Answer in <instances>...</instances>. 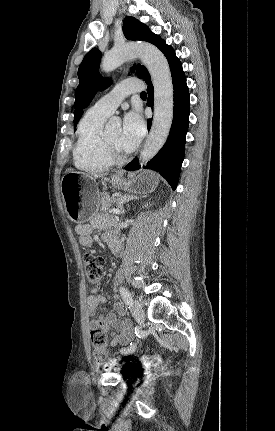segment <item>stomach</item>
Instances as JSON below:
<instances>
[{
    "mask_svg": "<svg viewBox=\"0 0 275 431\" xmlns=\"http://www.w3.org/2000/svg\"><path fill=\"white\" fill-rule=\"evenodd\" d=\"M158 177L153 172H142L130 184L122 173L113 175L111 183L115 188L134 192H149L158 185ZM91 179L76 172L66 173L61 180V194L68 218L75 223L87 222L97 211L98 194L89 186Z\"/></svg>",
    "mask_w": 275,
    "mask_h": 431,
    "instance_id": "obj_1",
    "label": "stomach"
}]
</instances>
